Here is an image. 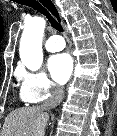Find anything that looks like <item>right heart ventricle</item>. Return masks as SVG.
I'll return each instance as SVG.
<instances>
[{
	"mask_svg": "<svg viewBox=\"0 0 117 136\" xmlns=\"http://www.w3.org/2000/svg\"><path fill=\"white\" fill-rule=\"evenodd\" d=\"M21 99H22L23 101H25V100L23 99L22 95H21Z\"/></svg>",
	"mask_w": 117,
	"mask_h": 136,
	"instance_id": "e07e8e85",
	"label": "right heart ventricle"
}]
</instances>
